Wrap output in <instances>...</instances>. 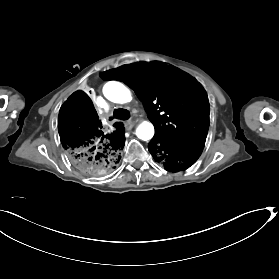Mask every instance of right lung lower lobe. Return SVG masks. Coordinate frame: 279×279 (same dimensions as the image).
<instances>
[{
    "mask_svg": "<svg viewBox=\"0 0 279 279\" xmlns=\"http://www.w3.org/2000/svg\"><path fill=\"white\" fill-rule=\"evenodd\" d=\"M110 131L101 121L88 95L73 93L59 111L58 132L71 164L79 171L103 176L118 165L125 145L122 123Z\"/></svg>",
    "mask_w": 279,
    "mask_h": 279,
    "instance_id": "obj_1",
    "label": "right lung lower lobe"
}]
</instances>
